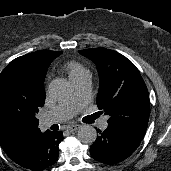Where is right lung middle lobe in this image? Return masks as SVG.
Wrapping results in <instances>:
<instances>
[{"mask_svg":"<svg viewBox=\"0 0 171 171\" xmlns=\"http://www.w3.org/2000/svg\"><path fill=\"white\" fill-rule=\"evenodd\" d=\"M44 102L20 65L10 62L0 74V135L17 137L36 130V114Z\"/></svg>","mask_w":171,"mask_h":171,"instance_id":"1","label":"right lung middle lobe"}]
</instances>
